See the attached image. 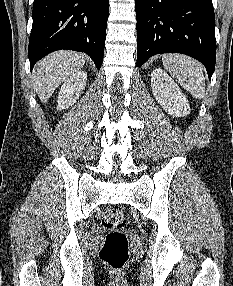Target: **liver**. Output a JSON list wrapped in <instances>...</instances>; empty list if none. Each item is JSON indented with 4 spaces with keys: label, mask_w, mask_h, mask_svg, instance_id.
Wrapping results in <instances>:
<instances>
[{
    "label": "liver",
    "mask_w": 233,
    "mask_h": 286,
    "mask_svg": "<svg viewBox=\"0 0 233 286\" xmlns=\"http://www.w3.org/2000/svg\"><path fill=\"white\" fill-rule=\"evenodd\" d=\"M86 56L73 51L47 55L34 68L32 82L41 102H48L54 91L85 64Z\"/></svg>",
    "instance_id": "obj_1"
}]
</instances>
